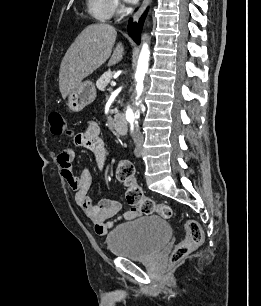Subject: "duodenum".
Segmentation results:
<instances>
[{
  "instance_id": "obj_1",
  "label": "duodenum",
  "mask_w": 261,
  "mask_h": 306,
  "mask_svg": "<svg viewBox=\"0 0 261 306\" xmlns=\"http://www.w3.org/2000/svg\"><path fill=\"white\" fill-rule=\"evenodd\" d=\"M112 125L114 129L120 134H126L128 131V125L123 115L115 113L112 117Z\"/></svg>"
}]
</instances>
